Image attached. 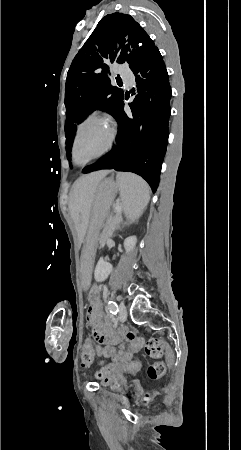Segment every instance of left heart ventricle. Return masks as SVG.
Instances as JSON below:
<instances>
[{"instance_id":"left-heart-ventricle-1","label":"left heart ventricle","mask_w":241,"mask_h":450,"mask_svg":"<svg viewBox=\"0 0 241 450\" xmlns=\"http://www.w3.org/2000/svg\"><path fill=\"white\" fill-rule=\"evenodd\" d=\"M106 122L100 116H91L80 124L77 130H85L86 134L81 135L80 137H84V140L87 142L83 147L84 150H92L88 152H83L84 157L88 160H95L98 157L96 152L101 150V140L105 138L106 127H102L101 123ZM100 124V125H99ZM100 142V143H98Z\"/></svg>"}]
</instances>
